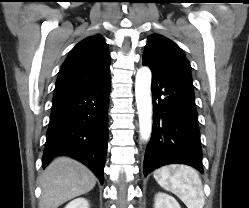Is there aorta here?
<instances>
[{
    "mask_svg": "<svg viewBox=\"0 0 249 208\" xmlns=\"http://www.w3.org/2000/svg\"><path fill=\"white\" fill-rule=\"evenodd\" d=\"M151 71L148 67L138 70L135 82V96L139 116L140 136L149 140L152 131Z\"/></svg>",
    "mask_w": 249,
    "mask_h": 208,
    "instance_id": "762f6f07",
    "label": "aorta"
}]
</instances>
